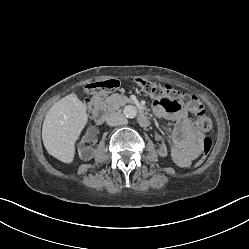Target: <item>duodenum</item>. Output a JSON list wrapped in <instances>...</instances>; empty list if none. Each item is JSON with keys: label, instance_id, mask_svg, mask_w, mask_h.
I'll return each instance as SVG.
<instances>
[{"label": "duodenum", "instance_id": "1", "mask_svg": "<svg viewBox=\"0 0 249 249\" xmlns=\"http://www.w3.org/2000/svg\"><path fill=\"white\" fill-rule=\"evenodd\" d=\"M93 117H94L95 122H97L99 124L103 123L105 121V118H106V107L100 106V107L96 108L94 111ZM138 122L142 126H147L149 124L147 115L143 110L139 111Z\"/></svg>", "mask_w": 249, "mask_h": 249}]
</instances>
